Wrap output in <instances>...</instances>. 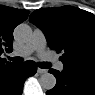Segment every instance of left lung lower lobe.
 I'll list each match as a JSON object with an SVG mask.
<instances>
[{"label":"left lung lower lobe","mask_w":95,"mask_h":95,"mask_svg":"<svg viewBox=\"0 0 95 95\" xmlns=\"http://www.w3.org/2000/svg\"><path fill=\"white\" fill-rule=\"evenodd\" d=\"M57 80L47 95H95V74L65 68L62 72L50 69Z\"/></svg>","instance_id":"1"}]
</instances>
